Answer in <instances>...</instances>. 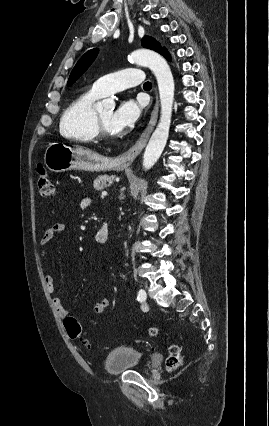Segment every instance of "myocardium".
Returning a JSON list of instances; mask_svg holds the SVG:
<instances>
[{
    "instance_id": "1",
    "label": "myocardium",
    "mask_w": 269,
    "mask_h": 426,
    "mask_svg": "<svg viewBox=\"0 0 269 426\" xmlns=\"http://www.w3.org/2000/svg\"><path fill=\"white\" fill-rule=\"evenodd\" d=\"M94 125L97 131V137L102 139H112L115 137V134L110 133L105 126L103 125L98 112H95L94 115Z\"/></svg>"
}]
</instances>
